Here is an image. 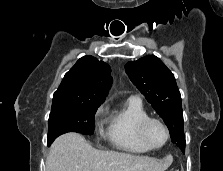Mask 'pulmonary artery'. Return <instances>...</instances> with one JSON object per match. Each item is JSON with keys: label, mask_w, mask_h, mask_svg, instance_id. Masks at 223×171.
<instances>
[{"label": "pulmonary artery", "mask_w": 223, "mask_h": 171, "mask_svg": "<svg viewBox=\"0 0 223 171\" xmlns=\"http://www.w3.org/2000/svg\"><path fill=\"white\" fill-rule=\"evenodd\" d=\"M131 98H135V99H139L140 100V97L138 95H133V96H131Z\"/></svg>", "instance_id": "obj_1"}]
</instances>
